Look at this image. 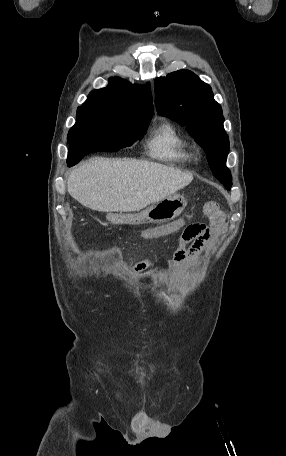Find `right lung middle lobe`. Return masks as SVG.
I'll use <instances>...</instances> for the list:
<instances>
[{"label":"right lung middle lobe","instance_id":"dd1d6c3e","mask_svg":"<svg viewBox=\"0 0 286 456\" xmlns=\"http://www.w3.org/2000/svg\"><path fill=\"white\" fill-rule=\"evenodd\" d=\"M76 123L70 129L67 140L68 166L78 163L92 152H116L141 140L151 117H135L121 113L79 107Z\"/></svg>","mask_w":286,"mask_h":456}]
</instances>
